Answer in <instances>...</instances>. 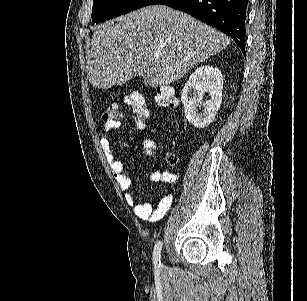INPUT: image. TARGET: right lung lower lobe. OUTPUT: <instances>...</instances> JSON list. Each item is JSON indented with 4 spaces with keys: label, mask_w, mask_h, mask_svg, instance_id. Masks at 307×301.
Instances as JSON below:
<instances>
[{
    "label": "right lung lower lobe",
    "mask_w": 307,
    "mask_h": 301,
    "mask_svg": "<svg viewBox=\"0 0 307 301\" xmlns=\"http://www.w3.org/2000/svg\"><path fill=\"white\" fill-rule=\"evenodd\" d=\"M184 11L229 35L245 55L248 0H150Z\"/></svg>",
    "instance_id": "1"
}]
</instances>
